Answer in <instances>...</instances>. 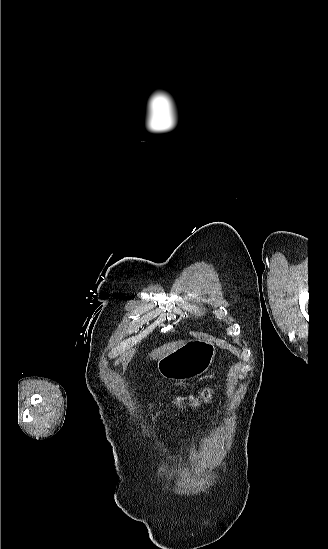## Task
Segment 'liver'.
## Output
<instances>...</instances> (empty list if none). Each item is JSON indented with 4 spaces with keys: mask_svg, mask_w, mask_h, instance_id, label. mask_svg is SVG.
I'll return each mask as SVG.
<instances>
[{
    "mask_svg": "<svg viewBox=\"0 0 328 549\" xmlns=\"http://www.w3.org/2000/svg\"><path fill=\"white\" fill-rule=\"evenodd\" d=\"M184 345V341H176V343H166V345H163V347H159V349H154L152 353H149V357L151 359H162V357H167L169 353H173V351H176V349H179V347H182Z\"/></svg>",
    "mask_w": 328,
    "mask_h": 549,
    "instance_id": "6515ba94",
    "label": "liver"
}]
</instances>
